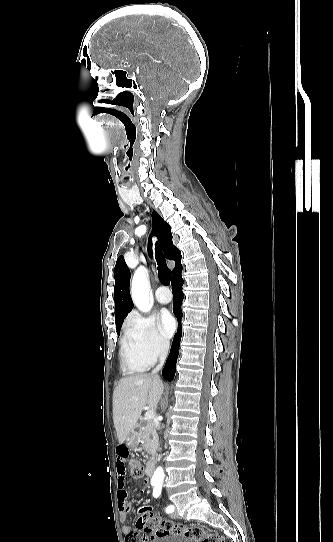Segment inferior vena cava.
<instances>
[{
	"mask_svg": "<svg viewBox=\"0 0 333 542\" xmlns=\"http://www.w3.org/2000/svg\"><path fill=\"white\" fill-rule=\"evenodd\" d=\"M168 350H169V340H165L163 344V348L161 350V354L159 356V364L158 366H156V368H154V370H152L151 376H157L159 370H162L164 366V362L167 358Z\"/></svg>",
	"mask_w": 333,
	"mask_h": 542,
	"instance_id": "602c4592",
	"label": "inferior vena cava"
}]
</instances>
